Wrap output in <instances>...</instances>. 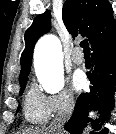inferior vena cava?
I'll return each instance as SVG.
<instances>
[{
    "instance_id": "inferior-vena-cava-1",
    "label": "inferior vena cava",
    "mask_w": 116,
    "mask_h": 134,
    "mask_svg": "<svg viewBox=\"0 0 116 134\" xmlns=\"http://www.w3.org/2000/svg\"><path fill=\"white\" fill-rule=\"evenodd\" d=\"M74 104L72 101H69L63 108L60 110L51 124V129L56 134H63V126L70 118L73 112Z\"/></svg>"
}]
</instances>
